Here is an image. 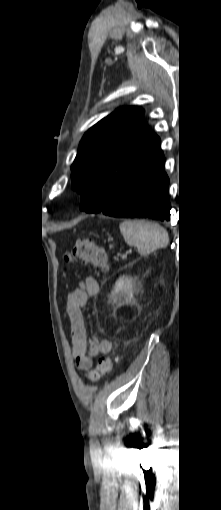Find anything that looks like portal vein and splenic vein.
<instances>
[{"label":"portal vein and splenic vein","mask_w":221,"mask_h":510,"mask_svg":"<svg viewBox=\"0 0 221 510\" xmlns=\"http://www.w3.org/2000/svg\"><path fill=\"white\" fill-rule=\"evenodd\" d=\"M126 257V255H122L121 258L124 259Z\"/></svg>","instance_id":"portal-vein-and-splenic-vein-1"}]
</instances>
